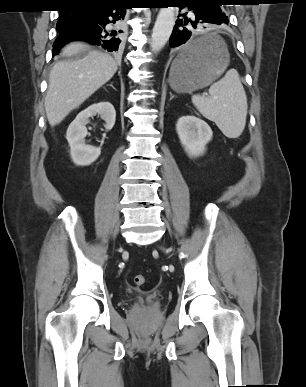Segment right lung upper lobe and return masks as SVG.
<instances>
[{
    "mask_svg": "<svg viewBox=\"0 0 306 387\" xmlns=\"http://www.w3.org/2000/svg\"><path fill=\"white\" fill-rule=\"evenodd\" d=\"M118 0H63L64 7L103 6ZM66 9L62 10L65 11ZM60 11V12H62Z\"/></svg>",
    "mask_w": 306,
    "mask_h": 387,
    "instance_id": "right-lung-upper-lobe-1",
    "label": "right lung upper lobe"
}]
</instances>
